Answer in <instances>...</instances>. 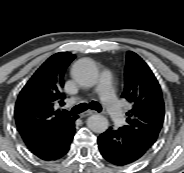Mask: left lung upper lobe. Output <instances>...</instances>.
Wrapping results in <instances>:
<instances>
[{
  "instance_id": "5c2ea615",
  "label": "left lung upper lobe",
  "mask_w": 184,
  "mask_h": 173,
  "mask_svg": "<svg viewBox=\"0 0 184 173\" xmlns=\"http://www.w3.org/2000/svg\"><path fill=\"white\" fill-rule=\"evenodd\" d=\"M122 97L131 102L133 108L127 113V124L121 128L148 150L163 125L164 102L154 74L142 58L131 51L126 56Z\"/></svg>"
}]
</instances>
